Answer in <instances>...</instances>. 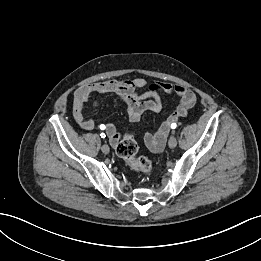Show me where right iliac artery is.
I'll return each mask as SVG.
<instances>
[{
  "label": "right iliac artery",
  "mask_w": 261,
  "mask_h": 261,
  "mask_svg": "<svg viewBox=\"0 0 261 261\" xmlns=\"http://www.w3.org/2000/svg\"><path fill=\"white\" fill-rule=\"evenodd\" d=\"M100 129H102V130L105 129V126L103 124L100 125ZM100 136H101V138H105L106 137L105 133H101Z\"/></svg>",
  "instance_id": "right-iliac-artery-1"
}]
</instances>
